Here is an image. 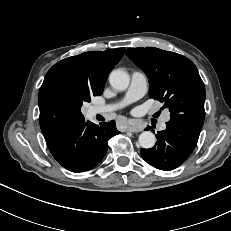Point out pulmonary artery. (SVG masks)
I'll return each mask as SVG.
<instances>
[{
  "instance_id": "obj_1",
  "label": "pulmonary artery",
  "mask_w": 231,
  "mask_h": 231,
  "mask_svg": "<svg viewBox=\"0 0 231 231\" xmlns=\"http://www.w3.org/2000/svg\"><path fill=\"white\" fill-rule=\"evenodd\" d=\"M147 91V79L143 72L133 71L131 73V83L125 97L118 103L109 104L106 106H94L90 109V115L104 114L115 111L119 108L126 106L140 98H142ZM170 119L169 112H165L161 118L160 129H165L166 123Z\"/></svg>"
}]
</instances>
